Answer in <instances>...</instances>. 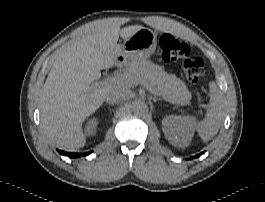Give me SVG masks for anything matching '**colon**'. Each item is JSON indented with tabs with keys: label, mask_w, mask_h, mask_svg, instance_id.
I'll list each match as a JSON object with an SVG mask.
<instances>
[{
	"label": "colon",
	"mask_w": 265,
	"mask_h": 202,
	"mask_svg": "<svg viewBox=\"0 0 265 202\" xmlns=\"http://www.w3.org/2000/svg\"><path fill=\"white\" fill-rule=\"evenodd\" d=\"M162 58L166 62H179L181 71L190 83H197L206 71V64L199 56L189 57L188 45L169 33H164L160 38Z\"/></svg>",
	"instance_id": "obj_1"
}]
</instances>
